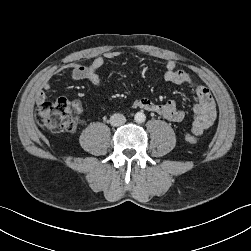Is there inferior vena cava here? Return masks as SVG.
I'll use <instances>...</instances> for the list:
<instances>
[{
    "label": "inferior vena cava",
    "instance_id": "obj_1",
    "mask_svg": "<svg viewBox=\"0 0 251 251\" xmlns=\"http://www.w3.org/2000/svg\"><path fill=\"white\" fill-rule=\"evenodd\" d=\"M126 122L124 115L116 113L110 117V124L114 127L121 126Z\"/></svg>",
    "mask_w": 251,
    "mask_h": 251
}]
</instances>
